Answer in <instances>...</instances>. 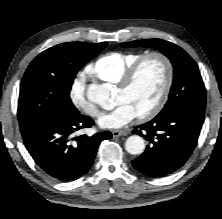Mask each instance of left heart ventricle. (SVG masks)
I'll list each match as a JSON object with an SVG mask.
<instances>
[{
    "instance_id": "left-heart-ventricle-1",
    "label": "left heart ventricle",
    "mask_w": 222,
    "mask_h": 219,
    "mask_svg": "<svg viewBox=\"0 0 222 219\" xmlns=\"http://www.w3.org/2000/svg\"><path fill=\"white\" fill-rule=\"evenodd\" d=\"M165 82V67L158 58H150L139 69L127 90L117 89L115 103H128L137 115L149 110L158 100Z\"/></svg>"
}]
</instances>
